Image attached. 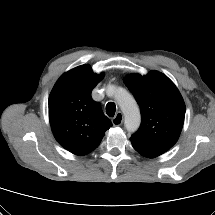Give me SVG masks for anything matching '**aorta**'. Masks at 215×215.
Returning <instances> with one entry per match:
<instances>
[{
    "label": "aorta",
    "mask_w": 215,
    "mask_h": 215,
    "mask_svg": "<svg viewBox=\"0 0 215 215\" xmlns=\"http://www.w3.org/2000/svg\"><path fill=\"white\" fill-rule=\"evenodd\" d=\"M114 96L124 114L125 128L129 132L136 131L141 122V115L135 99L123 88H116Z\"/></svg>",
    "instance_id": "1"
}]
</instances>
